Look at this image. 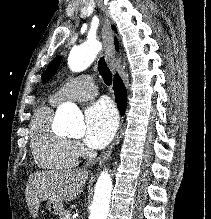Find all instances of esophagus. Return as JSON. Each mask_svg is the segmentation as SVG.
Listing matches in <instances>:
<instances>
[{
	"label": "esophagus",
	"instance_id": "esophagus-1",
	"mask_svg": "<svg viewBox=\"0 0 211 219\" xmlns=\"http://www.w3.org/2000/svg\"><path fill=\"white\" fill-rule=\"evenodd\" d=\"M113 35H114L113 31L111 30V27H110V21L107 17H104L103 27H102V38L104 41L107 61L110 65L112 71L114 72L115 57H114V51H113L114 50ZM119 141H120V132H118L113 143L110 145V147L107 149V151L102 155L98 166H101L109 159L110 155L112 154L115 146L119 143Z\"/></svg>",
	"mask_w": 211,
	"mask_h": 219
}]
</instances>
